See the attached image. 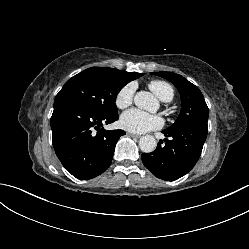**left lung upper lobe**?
Returning a JSON list of instances; mask_svg holds the SVG:
<instances>
[{
  "label": "left lung upper lobe",
  "instance_id": "obj_1",
  "mask_svg": "<svg viewBox=\"0 0 249 249\" xmlns=\"http://www.w3.org/2000/svg\"><path fill=\"white\" fill-rule=\"evenodd\" d=\"M152 74L172 82L181 95V112L175 123L167 131L177 130L195 122L208 121V107L197 86L181 75L172 72H153Z\"/></svg>",
  "mask_w": 249,
  "mask_h": 249
}]
</instances>
